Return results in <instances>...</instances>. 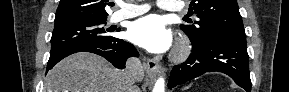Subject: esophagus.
I'll use <instances>...</instances> for the list:
<instances>
[{"mask_svg": "<svg viewBox=\"0 0 289 92\" xmlns=\"http://www.w3.org/2000/svg\"><path fill=\"white\" fill-rule=\"evenodd\" d=\"M144 66L147 71L148 81L150 84H152L156 76L160 72L161 66L158 62L154 61L153 59H147L144 63Z\"/></svg>", "mask_w": 289, "mask_h": 92, "instance_id": "34e87169", "label": "esophagus"}]
</instances>
